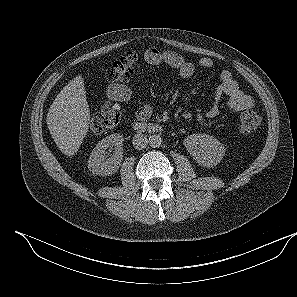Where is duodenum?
<instances>
[{"label": "duodenum", "instance_id": "1", "mask_svg": "<svg viewBox=\"0 0 297 297\" xmlns=\"http://www.w3.org/2000/svg\"><path fill=\"white\" fill-rule=\"evenodd\" d=\"M133 127L136 131L144 133H160L163 131V126L158 123H146L143 121H137L134 123Z\"/></svg>", "mask_w": 297, "mask_h": 297}]
</instances>
